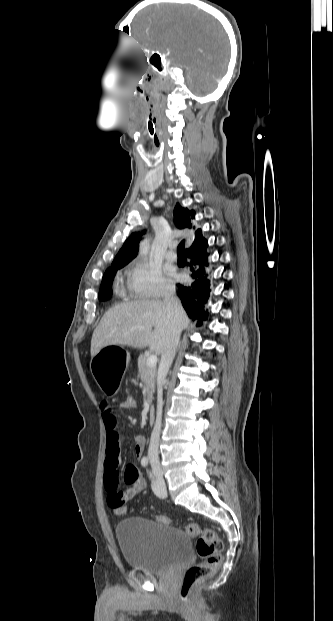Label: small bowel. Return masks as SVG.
I'll list each match as a JSON object with an SVG mask.
<instances>
[{
	"instance_id": "c3829d8e",
	"label": "small bowel",
	"mask_w": 333,
	"mask_h": 621,
	"mask_svg": "<svg viewBox=\"0 0 333 621\" xmlns=\"http://www.w3.org/2000/svg\"><path fill=\"white\" fill-rule=\"evenodd\" d=\"M103 423L107 433V458L105 461L104 482L107 490V503L114 509L117 505L125 504L140 493L145 485V479L139 469L132 463L125 466L124 480L128 484L125 490L119 488L120 483V451L122 446V435L118 429V421L114 409L109 401L103 400L100 403ZM145 447V438L136 436L134 438V454L140 459Z\"/></svg>"
}]
</instances>
